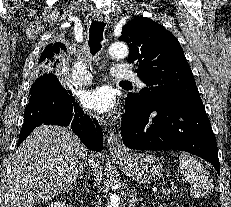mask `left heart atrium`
<instances>
[{
	"label": "left heart atrium",
	"instance_id": "1",
	"mask_svg": "<svg viewBox=\"0 0 231 207\" xmlns=\"http://www.w3.org/2000/svg\"><path fill=\"white\" fill-rule=\"evenodd\" d=\"M80 101L84 108L99 114L110 115L116 108L112 92L105 87L82 92Z\"/></svg>",
	"mask_w": 231,
	"mask_h": 207
}]
</instances>
